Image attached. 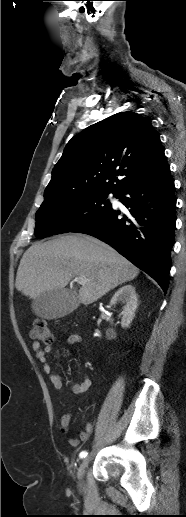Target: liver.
I'll list each match as a JSON object with an SVG mask.
<instances>
[{
	"instance_id": "obj_1",
	"label": "liver",
	"mask_w": 186,
	"mask_h": 517,
	"mask_svg": "<svg viewBox=\"0 0 186 517\" xmlns=\"http://www.w3.org/2000/svg\"><path fill=\"white\" fill-rule=\"evenodd\" d=\"M138 274L139 269L111 246L70 234L30 246L20 261L15 286L35 300L45 292L64 290L74 277H84L88 281L77 297L88 305Z\"/></svg>"
}]
</instances>
